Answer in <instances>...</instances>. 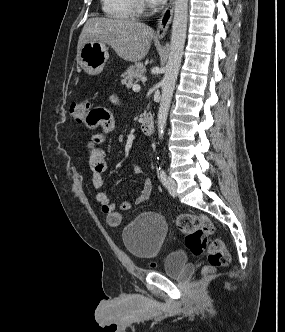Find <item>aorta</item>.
<instances>
[{
	"label": "aorta",
	"mask_w": 285,
	"mask_h": 332,
	"mask_svg": "<svg viewBox=\"0 0 285 332\" xmlns=\"http://www.w3.org/2000/svg\"><path fill=\"white\" fill-rule=\"evenodd\" d=\"M188 21V0H175L170 53L161 81L162 95L158 111V135L163 137L167 116L183 56Z\"/></svg>",
	"instance_id": "1"
}]
</instances>
